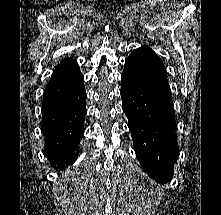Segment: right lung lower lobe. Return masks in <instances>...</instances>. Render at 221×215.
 Instances as JSON below:
<instances>
[{
	"label": "right lung lower lobe",
	"instance_id": "right-lung-lower-lobe-1",
	"mask_svg": "<svg viewBox=\"0 0 221 215\" xmlns=\"http://www.w3.org/2000/svg\"><path fill=\"white\" fill-rule=\"evenodd\" d=\"M84 76L76 60L58 65L44 91L42 129L46 155L56 168L75 159L86 115Z\"/></svg>",
	"mask_w": 221,
	"mask_h": 215
}]
</instances>
